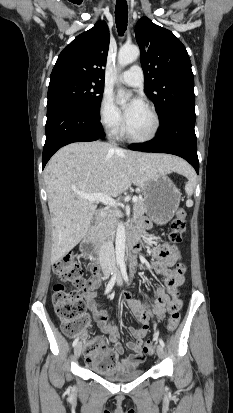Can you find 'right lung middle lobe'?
<instances>
[{
  "label": "right lung middle lobe",
  "instance_id": "obj_1",
  "mask_svg": "<svg viewBox=\"0 0 233 413\" xmlns=\"http://www.w3.org/2000/svg\"><path fill=\"white\" fill-rule=\"evenodd\" d=\"M103 87L104 84L76 78L52 81L48 87L47 107L66 104L99 117Z\"/></svg>",
  "mask_w": 233,
  "mask_h": 413
}]
</instances>
